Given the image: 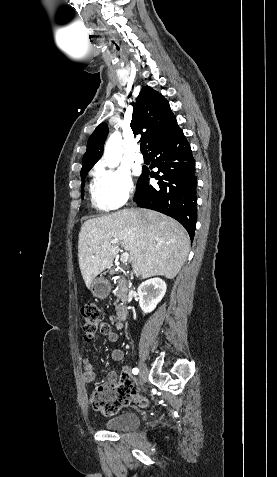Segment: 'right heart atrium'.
Listing matches in <instances>:
<instances>
[{"label": "right heart atrium", "instance_id": "obj_1", "mask_svg": "<svg viewBox=\"0 0 277 477\" xmlns=\"http://www.w3.org/2000/svg\"><path fill=\"white\" fill-rule=\"evenodd\" d=\"M96 180L100 195L109 209L124 206L133 196L135 186L130 173L123 168H96Z\"/></svg>", "mask_w": 277, "mask_h": 477}]
</instances>
